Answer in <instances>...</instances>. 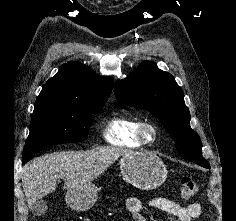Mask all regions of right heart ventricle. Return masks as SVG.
I'll return each instance as SVG.
<instances>
[{
  "label": "right heart ventricle",
  "mask_w": 236,
  "mask_h": 221,
  "mask_svg": "<svg viewBox=\"0 0 236 221\" xmlns=\"http://www.w3.org/2000/svg\"><path fill=\"white\" fill-rule=\"evenodd\" d=\"M141 119L132 115H116L110 118L104 128L105 140L116 147L138 149L143 143L138 138Z\"/></svg>",
  "instance_id": "e07e8e85"
}]
</instances>
